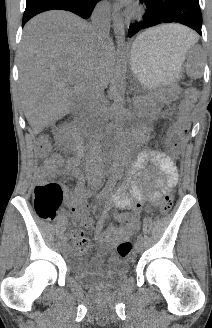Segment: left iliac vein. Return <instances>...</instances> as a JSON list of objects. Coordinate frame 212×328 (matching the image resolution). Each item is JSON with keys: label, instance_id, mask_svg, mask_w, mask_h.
<instances>
[{"label": "left iliac vein", "instance_id": "4c4485c4", "mask_svg": "<svg viewBox=\"0 0 212 328\" xmlns=\"http://www.w3.org/2000/svg\"><path fill=\"white\" fill-rule=\"evenodd\" d=\"M134 249L137 253H140L143 250V243L139 240L135 242Z\"/></svg>", "mask_w": 212, "mask_h": 328}]
</instances>
